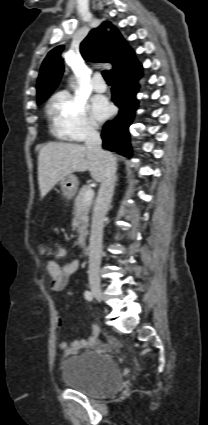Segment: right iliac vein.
I'll return each mask as SVG.
<instances>
[{
  "label": "right iliac vein",
  "mask_w": 208,
  "mask_h": 425,
  "mask_svg": "<svg viewBox=\"0 0 208 425\" xmlns=\"http://www.w3.org/2000/svg\"><path fill=\"white\" fill-rule=\"evenodd\" d=\"M90 288L96 299L100 301L102 299V289L100 284L96 282H91Z\"/></svg>",
  "instance_id": "right-iliac-vein-1"
}]
</instances>
